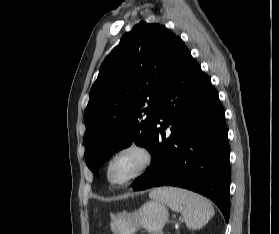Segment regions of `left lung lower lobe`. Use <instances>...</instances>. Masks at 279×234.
Masks as SVG:
<instances>
[{"instance_id": "obj_1", "label": "left lung lower lobe", "mask_w": 279, "mask_h": 234, "mask_svg": "<svg viewBox=\"0 0 279 234\" xmlns=\"http://www.w3.org/2000/svg\"><path fill=\"white\" fill-rule=\"evenodd\" d=\"M155 116L152 165L134 181L133 190L161 185L193 190L215 202L228 222L225 112L210 78L185 46L161 90Z\"/></svg>"}]
</instances>
